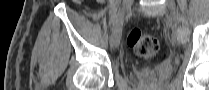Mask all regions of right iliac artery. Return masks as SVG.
<instances>
[{"mask_svg":"<svg viewBox=\"0 0 209 90\" xmlns=\"http://www.w3.org/2000/svg\"><path fill=\"white\" fill-rule=\"evenodd\" d=\"M122 16V10L119 9L115 15V19H114V25L113 27L118 23L119 19L121 18Z\"/></svg>","mask_w":209,"mask_h":90,"instance_id":"obj_1","label":"right iliac artery"}]
</instances>
